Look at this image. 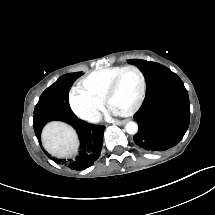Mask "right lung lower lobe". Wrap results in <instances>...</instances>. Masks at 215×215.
Listing matches in <instances>:
<instances>
[{
  "instance_id": "1",
  "label": "right lung lower lobe",
  "mask_w": 215,
  "mask_h": 215,
  "mask_svg": "<svg viewBox=\"0 0 215 215\" xmlns=\"http://www.w3.org/2000/svg\"><path fill=\"white\" fill-rule=\"evenodd\" d=\"M52 120L64 121L72 125L80 138V150L78 155L73 160H63L51 157L46 151L45 154L54 160L56 163H63L68 165L72 170H83L90 167L99 157L102 144H103V132L105 127L95 126L89 124L83 120L78 119L76 116L73 118L65 117L62 115L50 116L39 119L33 122L36 137L41 144V131L46 123ZM43 149V148H42Z\"/></svg>"
}]
</instances>
